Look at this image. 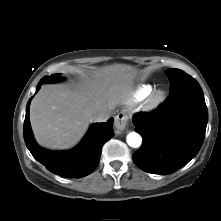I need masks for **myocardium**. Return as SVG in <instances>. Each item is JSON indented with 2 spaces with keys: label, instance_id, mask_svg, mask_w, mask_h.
Listing matches in <instances>:
<instances>
[{
  "label": "myocardium",
  "instance_id": "myocardium-1",
  "mask_svg": "<svg viewBox=\"0 0 221 221\" xmlns=\"http://www.w3.org/2000/svg\"><path fill=\"white\" fill-rule=\"evenodd\" d=\"M166 99V93L162 89L156 90L148 100V107L150 109H155L161 105Z\"/></svg>",
  "mask_w": 221,
  "mask_h": 221
}]
</instances>
